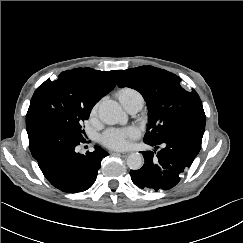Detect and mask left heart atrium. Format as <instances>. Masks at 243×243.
<instances>
[{
    "label": "left heart atrium",
    "instance_id": "1",
    "mask_svg": "<svg viewBox=\"0 0 243 243\" xmlns=\"http://www.w3.org/2000/svg\"><path fill=\"white\" fill-rule=\"evenodd\" d=\"M139 132L134 127L123 129L110 128L106 130L100 137L103 145L113 149H124L129 145L132 139L137 138Z\"/></svg>",
    "mask_w": 243,
    "mask_h": 243
}]
</instances>
